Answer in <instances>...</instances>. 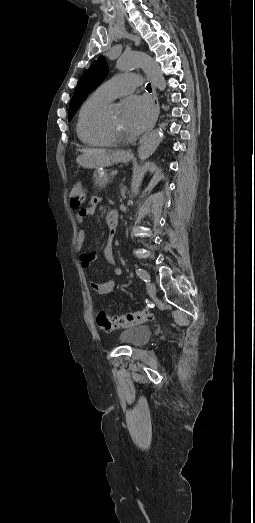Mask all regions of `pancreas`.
<instances>
[{
    "label": "pancreas",
    "mask_w": 255,
    "mask_h": 523,
    "mask_svg": "<svg viewBox=\"0 0 255 523\" xmlns=\"http://www.w3.org/2000/svg\"><path fill=\"white\" fill-rule=\"evenodd\" d=\"M93 178L95 180L96 186H100V188H105L106 184L109 182L107 174H100L99 170L94 172Z\"/></svg>",
    "instance_id": "pancreas-1"
}]
</instances>
